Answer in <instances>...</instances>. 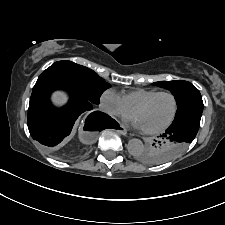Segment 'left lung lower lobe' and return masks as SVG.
<instances>
[{"mask_svg":"<svg viewBox=\"0 0 225 225\" xmlns=\"http://www.w3.org/2000/svg\"><path fill=\"white\" fill-rule=\"evenodd\" d=\"M201 115L202 113H192L173 121L171 126L163 134V137L171 138L180 142V144H175L167 156L161 157L160 160L165 162L175 158L182 153L183 146L193 141L199 129Z\"/></svg>","mask_w":225,"mask_h":225,"instance_id":"1","label":"left lung lower lobe"}]
</instances>
